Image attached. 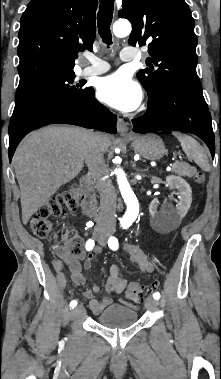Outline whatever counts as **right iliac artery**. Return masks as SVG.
I'll use <instances>...</instances> for the list:
<instances>
[{
	"label": "right iliac artery",
	"mask_w": 221,
	"mask_h": 379,
	"mask_svg": "<svg viewBox=\"0 0 221 379\" xmlns=\"http://www.w3.org/2000/svg\"><path fill=\"white\" fill-rule=\"evenodd\" d=\"M94 240L93 239H89L86 244H85V248L87 251H91L93 248H94ZM77 300H72L70 302V308H75L77 306Z\"/></svg>",
	"instance_id": "right-iliac-artery-1"
}]
</instances>
